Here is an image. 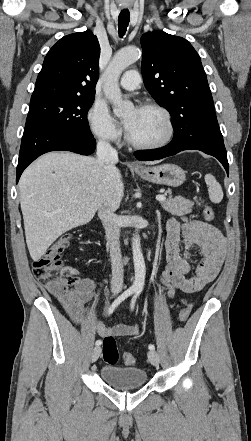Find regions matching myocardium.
Wrapping results in <instances>:
<instances>
[{"label": "myocardium", "mask_w": 251, "mask_h": 441, "mask_svg": "<svg viewBox=\"0 0 251 441\" xmlns=\"http://www.w3.org/2000/svg\"><path fill=\"white\" fill-rule=\"evenodd\" d=\"M140 108L143 109H152V110H156L158 112H160L166 122L167 125V133L164 136L163 139H161L160 141L157 142H153V143H142L139 141H136L130 134V132L127 130L126 132V140L128 141V143L130 145H132L133 147L137 148V149H142V150H154V149H159L162 148L164 146H166L167 144H169V142L172 140L174 133H175V126L173 123V119L171 116V113L168 111V109H166L164 106L157 104V103H145L143 104Z\"/></svg>", "instance_id": "obj_1"}]
</instances>
